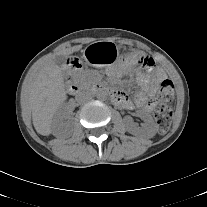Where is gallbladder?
<instances>
[{
  "label": "gallbladder",
  "mask_w": 207,
  "mask_h": 207,
  "mask_svg": "<svg viewBox=\"0 0 207 207\" xmlns=\"http://www.w3.org/2000/svg\"><path fill=\"white\" fill-rule=\"evenodd\" d=\"M55 60H56V62H57L58 64H63V63L65 62V60H66V56L59 55V56H57V57L55 58Z\"/></svg>",
  "instance_id": "bac80fb5"
}]
</instances>
